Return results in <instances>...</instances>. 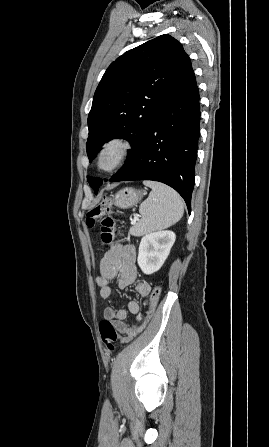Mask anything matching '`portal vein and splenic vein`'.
I'll return each mask as SVG.
<instances>
[{"label": "portal vein and splenic vein", "mask_w": 269, "mask_h": 447, "mask_svg": "<svg viewBox=\"0 0 269 447\" xmlns=\"http://www.w3.org/2000/svg\"><path fill=\"white\" fill-rule=\"evenodd\" d=\"M138 220H139L138 216H134V220H132L131 224H136Z\"/></svg>", "instance_id": "1"}]
</instances>
